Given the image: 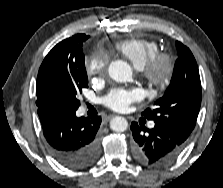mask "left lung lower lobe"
Returning <instances> with one entry per match:
<instances>
[{
  "label": "left lung lower lobe",
  "instance_id": "obj_1",
  "mask_svg": "<svg viewBox=\"0 0 223 188\" xmlns=\"http://www.w3.org/2000/svg\"><path fill=\"white\" fill-rule=\"evenodd\" d=\"M131 130L134 157L145 166L167 165L178 157L185 146L177 135L157 123L154 128L145 129L143 125L132 122Z\"/></svg>",
  "mask_w": 223,
  "mask_h": 188
}]
</instances>
